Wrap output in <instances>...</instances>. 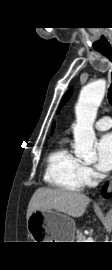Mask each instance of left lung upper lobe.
Masks as SVG:
<instances>
[{
    "label": "left lung upper lobe",
    "mask_w": 112,
    "mask_h": 270,
    "mask_svg": "<svg viewBox=\"0 0 112 270\" xmlns=\"http://www.w3.org/2000/svg\"><path fill=\"white\" fill-rule=\"evenodd\" d=\"M71 92H72V89L68 90V91L65 93V95H64V97H63V99H62V101H61V104H60L59 108H61V106L68 100V98H69L70 95H71Z\"/></svg>",
    "instance_id": "left-lung-upper-lobe-1"
}]
</instances>
